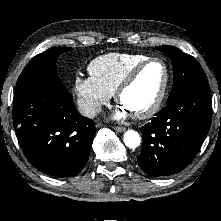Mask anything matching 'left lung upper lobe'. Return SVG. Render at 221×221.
Here are the masks:
<instances>
[{"instance_id":"left-lung-upper-lobe-1","label":"left lung upper lobe","mask_w":221,"mask_h":221,"mask_svg":"<svg viewBox=\"0 0 221 221\" xmlns=\"http://www.w3.org/2000/svg\"><path fill=\"white\" fill-rule=\"evenodd\" d=\"M156 49L165 53L173 65L174 84L167 103L190 89L207 87L202 67L191 55L173 46H159Z\"/></svg>"}]
</instances>
